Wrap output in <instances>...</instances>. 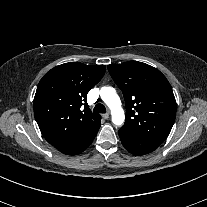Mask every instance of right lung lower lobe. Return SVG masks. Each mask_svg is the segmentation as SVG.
Listing matches in <instances>:
<instances>
[{
	"label": "right lung lower lobe",
	"instance_id": "98d812e1",
	"mask_svg": "<svg viewBox=\"0 0 207 207\" xmlns=\"http://www.w3.org/2000/svg\"><path fill=\"white\" fill-rule=\"evenodd\" d=\"M100 127V123L95 125L90 130L79 134L68 145L59 148L58 150L66 155H77L82 153L92 143Z\"/></svg>",
	"mask_w": 207,
	"mask_h": 207
}]
</instances>
